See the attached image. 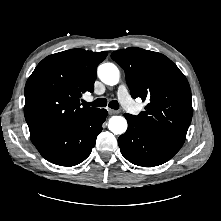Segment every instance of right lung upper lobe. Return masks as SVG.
Wrapping results in <instances>:
<instances>
[{"label":"right lung upper lobe","mask_w":221,"mask_h":221,"mask_svg":"<svg viewBox=\"0 0 221 221\" xmlns=\"http://www.w3.org/2000/svg\"><path fill=\"white\" fill-rule=\"evenodd\" d=\"M107 52L71 49L44 58L25 86L24 115L33 144L57 137L98 108L80 105L94 91L97 66Z\"/></svg>","instance_id":"right-lung-upper-lobe-1"}]
</instances>
